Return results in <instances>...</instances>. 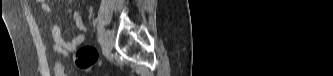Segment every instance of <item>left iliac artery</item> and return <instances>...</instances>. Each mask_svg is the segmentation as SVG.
Returning a JSON list of instances; mask_svg holds the SVG:
<instances>
[{"mask_svg":"<svg viewBox=\"0 0 333 76\" xmlns=\"http://www.w3.org/2000/svg\"><path fill=\"white\" fill-rule=\"evenodd\" d=\"M94 23L96 24V23H97V20H95ZM102 34H103L102 29L98 28V35H99L98 40H99V42H100L101 44L103 43V37H102Z\"/></svg>","mask_w":333,"mask_h":76,"instance_id":"left-iliac-artery-1","label":"left iliac artery"}]
</instances>
